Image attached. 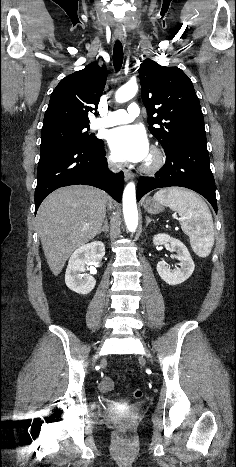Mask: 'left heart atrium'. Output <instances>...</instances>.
I'll return each instance as SVG.
<instances>
[{"mask_svg": "<svg viewBox=\"0 0 236 467\" xmlns=\"http://www.w3.org/2000/svg\"><path fill=\"white\" fill-rule=\"evenodd\" d=\"M108 142L117 161L141 162L149 156L148 139L139 126L125 125L111 130Z\"/></svg>", "mask_w": 236, "mask_h": 467, "instance_id": "obj_1", "label": "left heart atrium"}]
</instances>
